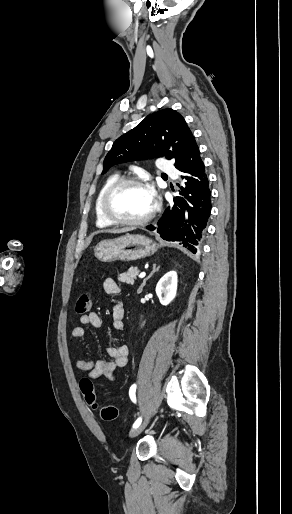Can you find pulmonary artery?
<instances>
[{
  "label": "pulmonary artery",
  "mask_w": 292,
  "mask_h": 514,
  "mask_svg": "<svg viewBox=\"0 0 292 514\" xmlns=\"http://www.w3.org/2000/svg\"><path fill=\"white\" fill-rule=\"evenodd\" d=\"M157 168L160 172H169L171 169V164L169 161H160L157 165Z\"/></svg>",
  "instance_id": "1"
}]
</instances>
